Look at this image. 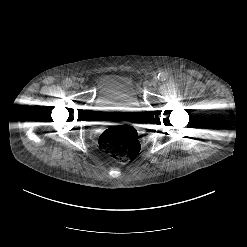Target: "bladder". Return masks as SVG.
Here are the masks:
<instances>
[{
    "instance_id": "bladder-1",
    "label": "bladder",
    "mask_w": 247,
    "mask_h": 247,
    "mask_svg": "<svg viewBox=\"0 0 247 247\" xmlns=\"http://www.w3.org/2000/svg\"><path fill=\"white\" fill-rule=\"evenodd\" d=\"M94 104L97 107L94 112L97 120L114 117L131 119L138 114L136 109L140 107V100L130 78L119 74H106L98 82Z\"/></svg>"
}]
</instances>
